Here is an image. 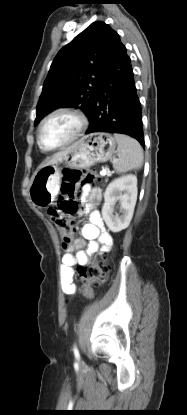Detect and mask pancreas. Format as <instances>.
I'll return each instance as SVG.
<instances>
[{"mask_svg":"<svg viewBox=\"0 0 187 415\" xmlns=\"http://www.w3.org/2000/svg\"><path fill=\"white\" fill-rule=\"evenodd\" d=\"M107 176H108V177H109V176H111V173H107ZM107 180H108V179H106L105 181L107 182Z\"/></svg>","mask_w":187,"mask_h":415,"instance_id":"cf45deb5","label":"pancreas"}]
</instances>
